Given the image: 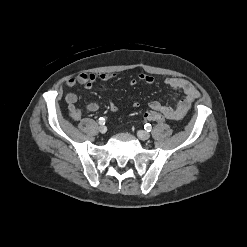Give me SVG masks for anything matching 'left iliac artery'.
<instances>
[{"label": "left iliac artery", "instance_id": "obj_1", "mask_svg": "<svg viewBox=\"0 0 247 247\" xmlns=\"http://www.w3.org/2000/svg\"><path fill=\"white\" fill-rule=\"evenodd\" d=\"M145 130H147V132H150L152 130V125L149 123L145 124Z\"/></svg>", "mask_w": 247, "mask_h": 247}]
</instances>
